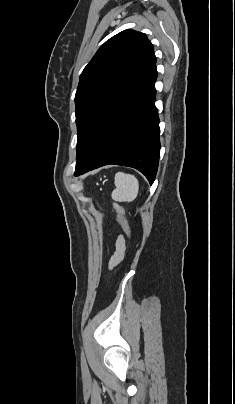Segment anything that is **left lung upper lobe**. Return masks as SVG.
Instances as JSON below:
<instances>
[{"label":"left lung upper lobe","mask_w":235,"mask_h":404,"mask_svg":"<svg viewBox=\"0 0 235 404\" xmlns=\"http://www.w3.org/2000/svg\"><path fill=\"white\" fill-rule=\"evenodd\" d=\"M156 70L153 45L125 30L106 41L84 68L75 95L77 160L109 116Z\"/></svg>","instance_id":"obj_1"}]
</instances>
